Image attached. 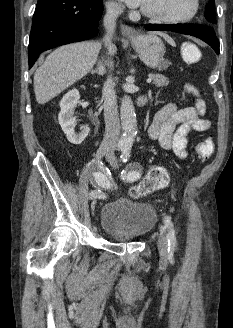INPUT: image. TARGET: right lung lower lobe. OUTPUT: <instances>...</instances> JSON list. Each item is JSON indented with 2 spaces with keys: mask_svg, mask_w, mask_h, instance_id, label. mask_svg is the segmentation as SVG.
Returning a JSON list of instances; mask_svg holds the SVG:
<instances>
[{
  "mask_svg": "<svg viewBox=\"0 0 233 328\" xmlns=\"http://www.w3.org/2000/svg\"><path fill=\"white\" fill-rule=\"evenodd\" d=\"M102 10L101 0H38L28 46L29 68L43 51L96 35Z\"/></svg>",
  "mask_w": 233,
  "mask_h": 328,
  "instance_id": "right-lung-lower-lobe-1",
  "label": "right lung lower lobe"
}]
</instances>
